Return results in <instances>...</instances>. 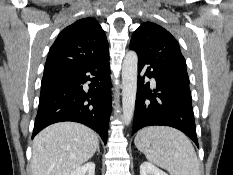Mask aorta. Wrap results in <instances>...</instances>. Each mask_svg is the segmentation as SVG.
<instances>
[{"label":"aorta","mask_w":233,"mask_h":175,"mask_svg":"<svg viewBox=\"0 0 233 175\" xmlns=\"http://www.w3.org/2000/svg\"><path fill=\"white\" fill-rule=\"evenodd\" d=\"M138 56L135 51H129L122 66V108L123 121L129 124L134 115L137 92Z\"/></svg>","instance_id":"obj_1"}]
</instances>
